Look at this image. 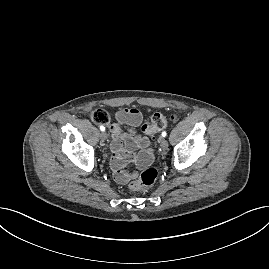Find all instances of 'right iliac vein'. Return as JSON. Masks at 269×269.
Here are the masks:
<instances>
[{"mask_svg": "<svg viewBox=\"0 0 269 269\" xmlns=\"http://www.w3.org/2000/svg\"><path fill=\"white\" fill-rule=\"evenodd\" d=\"M100 138H101V140L104 142V141L107 139V133L103 131V132L100 134Z\"/></svg>", "mask_w": 269, "mask_h": 269, "instance_id": "63e3f726", "label": "right iliac vein"}]
</instances>
